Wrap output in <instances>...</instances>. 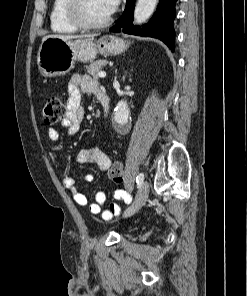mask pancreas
I'll use <instances>...</instances> for the list:
<instances>
[{
	"mask_svg": "<svg viewBox=\"0 0 247 296\" xmlns=\"http://www.w3.org/2000/svg\"><path fill=\"white\" fill-rule=\"evenodd\" d=\"M107 64L106 60H97L92 62L90 65L85 66V69L89 75L93 78H98V73L102 70V68Z\"/></svg>",
	"mask_w": 247,
	"mask_h": 296,
	"instance_id": "1",
	"label": "pancreas"
}]
</instances>
